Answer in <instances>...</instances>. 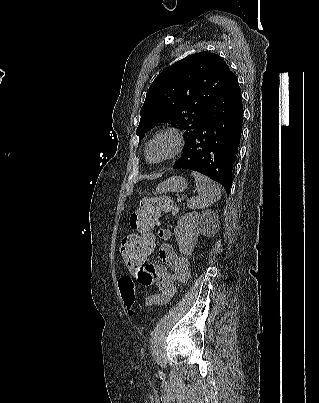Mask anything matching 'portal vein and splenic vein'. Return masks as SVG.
<instances>
[{
    "label": "portal vein and splenic vein",
    "mask_w": 319,
    "mask_h": 403,
    "mask_svg": "<svg viewBox=\"0 0 319 403\" xmlns=\"http://www.w3.org/2000/svg\"><path fill=\"white\" fill-rule=\"evenodd\" d=\"M182 199H183V198H177V201L180 202V201H182Z\"/></svg>",
    "instance_id": "1"
}]
</instances>
